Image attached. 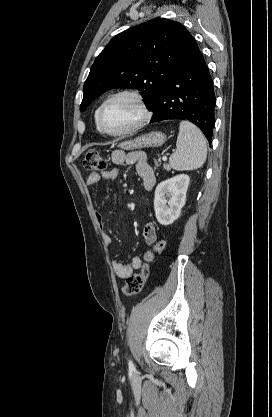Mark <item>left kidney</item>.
Listing matches in <instances>:
<instances>
[{
    "instance_id": "obj_1",
    "label": "left kidney",
    "mask_w": 272,
    "mask_h": 417,
    "mask_svg": "<svg viewBox=\"0 0 272 417\" xmlns=\"http://www.w3.org/2000/svg\"><path fill=\"white\" fill-rule=\"evenodd\" d=\"M189 181L188 175L180 174L158 184L155 190L154 210L160 224L170 225L179 218L186 202Z\"/></svg>"
}]
</instances>
